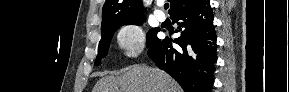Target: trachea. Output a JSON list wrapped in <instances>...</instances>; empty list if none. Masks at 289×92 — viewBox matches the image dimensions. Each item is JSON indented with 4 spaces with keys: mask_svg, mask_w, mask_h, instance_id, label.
Returning a JSON list of instances; mask_svg holds the SVG:
<instances>
[{
    "mask_svg": "<svg viewBox=\"0 0 289 92\" xmlns=\"http://www.w3.org/2000/svg\"><path fill=\"white\" fill-rule=\"evenodd\" d=\"M164 8L168 9L169 8V4L168 3L164 4Z\"/></svg>",
    "mask_w": 289,
    "mask_h": 92,
    "instance_id": "3493384b",
    "label": "trachea"
}]
</instances>
